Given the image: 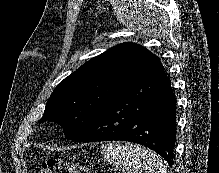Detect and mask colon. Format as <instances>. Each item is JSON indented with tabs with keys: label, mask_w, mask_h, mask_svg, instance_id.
Masks as SVG:
<instances>
[{
	"label": "colon",
	"mask_w": 219,
	"mask_h": 173,
	"mask_svg": "<svg viewBox=\"0 0 219 173\" xmlns=\"http://www.w3.org/2000/svg\"><path fill=\"white\" fill-rule=\"evenodd\" d=\"M38 173H92V171L86 166L58 158H49L42 162Z\"/></svg>",
	"instance_id": "colon-1"
}]
</instances>
